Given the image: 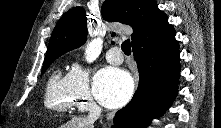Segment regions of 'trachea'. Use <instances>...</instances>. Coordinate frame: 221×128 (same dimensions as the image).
<instances>
[{
  "instance_id": "obj_1",
  "label": "trachea",
  "mask_w": 221,
  "mask_h": 128,
  "mask_svg": "<svg viewBox=\"0 0 221 128\" xmlns=\"http://www.w3.org/2000/svg\"><path fill=\"white\" fill-rule=\"evenodd\" d=\"M122 51L126 54V55H130L131 54V45H130V40L127 39L125 40L122 45H121Z\"/></svg>"
}]
</instances>
